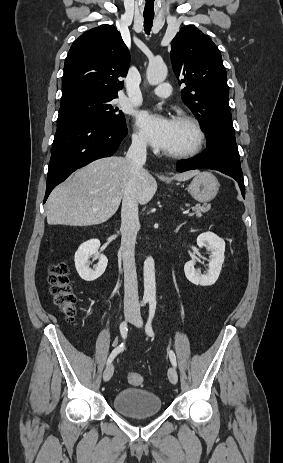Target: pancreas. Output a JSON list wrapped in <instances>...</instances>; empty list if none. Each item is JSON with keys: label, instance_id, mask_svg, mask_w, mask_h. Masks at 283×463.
I'll return each instance as SVG.
<instances>
[{"label": "pancreas", "instance_id": "obj_1", "mask_svg": "<svg viewBox=\"0 0 283 463\" xmlns=\"http://www.w3.org/2000/svg\"><path fill=\"white\" fill-rule=\"evenodd\" d=\"M188 206V205H187ZM211 209L210 205L204 204H196L192 207L193 213L190 216L196 215L197 217H201L202 213L208 212Z\"/></svg>", "mask_w": 283, "mask_h": 463}]
</instances>
